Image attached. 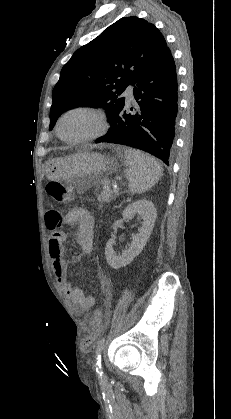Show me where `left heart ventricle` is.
Segmentation results:
<instances>
[{"label": "left heart ventricle", "mask_w": 231, "mask_h": 419, "mask_svg": "<svg viewBox=\"0 0 231 419\" xmlns=\"http://www.w3.org/2000/svg\"><path fill=\"white\" fill-rule=\"evenodd\" d=\"M98 129L97 119L85 112L68 114L61 122L60 132L65 138H80Z\"/></svg>", "instance_id": "b2bd125f"}]
</instances>
